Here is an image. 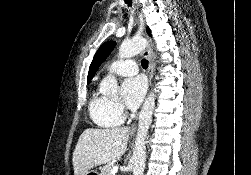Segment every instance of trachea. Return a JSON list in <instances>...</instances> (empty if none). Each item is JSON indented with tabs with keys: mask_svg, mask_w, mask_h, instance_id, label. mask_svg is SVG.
<instances>
[{
	"mask_svg": "<svg viewBox=\"0 0 251 175\" xmlns=\"http://www.w3.org/2000/svg\"><path fill=\"white\" fill-rule=\"evenodd\" d=\"M125 2L131 7V5H132L131 0H125ZM141 65L143 68H148V60H145V59L142 60Z\"/></svg>",
	"mask_w": 251,
	"mask_h": 175,
	"instance_id": "obj_1",
	"label": "trachea"
}]
</instances>
